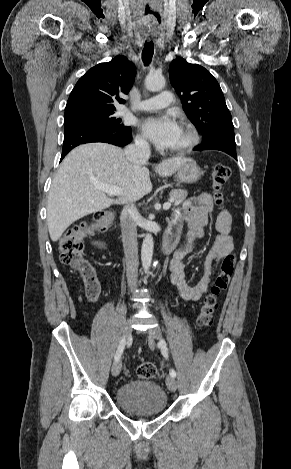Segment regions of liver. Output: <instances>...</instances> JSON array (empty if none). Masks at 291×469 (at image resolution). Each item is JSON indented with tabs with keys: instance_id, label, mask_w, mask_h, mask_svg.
Instances as JSON below:
<instances>
[{
	"instance_id": "obj_1",
	"label": "liver",
	"mask_w": 291,
	"mask_h": 469,
	"mask_svg": "<svg viewBox=\"0 0 291 469\" xmlns=\"http://www.w3.org/2000/svg\"><path fill=\"white\" fill-rule=\"evenodd\" d=\"M189 158L175 157L156 165L159 176L175 173ZM95 184L121 188L117 199H111ZM152 183L145 163H131L125 152L105 143L78 146L63 160L48 195L47 225L52 241L60 239L75 221L89 214L126 204L150 193Z\"/></svg>"
}]
</instances>
